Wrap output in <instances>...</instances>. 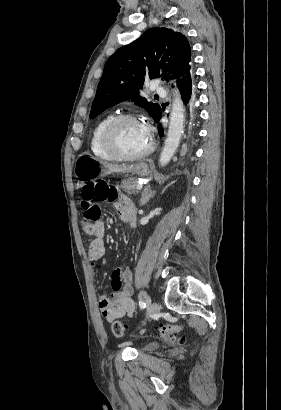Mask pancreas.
<instances>
[{"mask_svg": "<svg viewBox=\"0 0 281 410\" xmlns=\"http://www.w3.org/2000/svg\"><path fill=\"white\" fill-rule=\"evenodd\" d=\"M137 184H138V181L136 179L128 178L122 181L121 187L127 194L131 195V194H135L139 192L136 189Z\"/></svg>", "mask_w": 281, "mask_h": 410, "instance_id": "obj_1", "label": "pancreas"}]
</instances>
